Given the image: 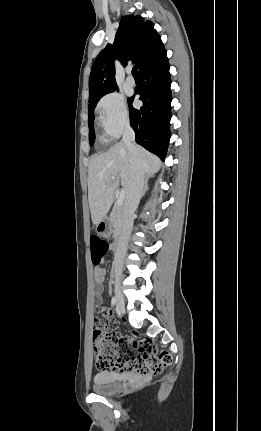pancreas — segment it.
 <instances>
[{"mask_svg":"<svg viewBox=\"0 0 261 431\" xmlns=\"http://www.w3.org/2000/svg\"><path fill=\"white\" fill-rule=\"evenodd\" d=\"M110 221L113 224L114 232L119 233L123 224V206L115 204L110 214Z\"/></svg>","mask_w":261,"mask_h":431,"instance_id":"1","label":"pancreas"}]
</instances>
